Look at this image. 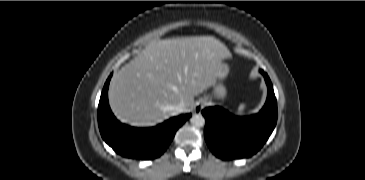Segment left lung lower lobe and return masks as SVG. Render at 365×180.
Masks as SVG:
<instances>
[{
    "instance_id": "0a47b994",
    "label": "left lung lower lobe",
    "mask_w": 365,
    "mask_h": 180,
    "mask_svg": "<svg viewBox=\"0 0 365 180\" xmlns=\"http://www.w3.org/2000/svg\"><path fill=\"white\" fill-rule=\"evenodd\" d=\"M268 87L267 100L255 115L238 117L221 107H208L204 136L210 150L219 158L238 159L250 157L268 140L277 122V101L268 75L260 70Z\"/></svg>"
}]
</instances>
